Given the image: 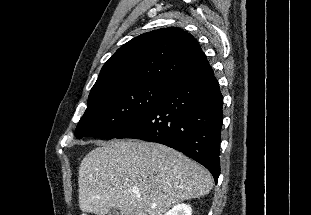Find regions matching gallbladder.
<instances>
[{
	"mask_svg": "<svg viewBox=\"0 0 311 215\" xmlns=\"http://www.w3.org/2000/svg\"><path fill=\"white\" fill-rule=\"evenodd\" d=\"M108 215H123V213L118 208H113L110 210Z\"/></svg>",
	"mask_w": 311,
	"mask_h": 215,
	"instance_id": "obj_1",
	"label": "gallbladder"
}]
</instances>
